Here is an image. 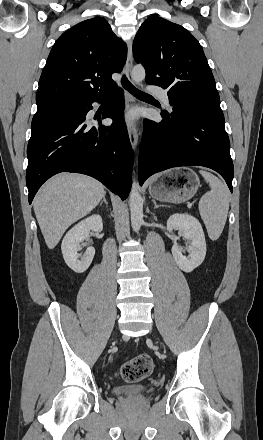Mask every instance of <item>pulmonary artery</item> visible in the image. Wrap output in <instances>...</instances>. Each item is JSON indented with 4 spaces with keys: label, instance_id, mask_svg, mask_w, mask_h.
<instances>
[{
    "label": "pulmonary artery",
    "instance_id": "1",
    "mask_svg": "<svg viewBox=\"0 0 263 440\" xmlns=\"http://www.w3.org/2000/svg\"><path fill=\"white\" fill-rule=\"evenodd\" d=\"M149 90L152 93L156 94L163 101L164 104L170 107V99L165 89L161 87H154V88H150Z\"/></svg>",
    "mask_w": 263,
    "mask_h": 440
}]
</instances>
